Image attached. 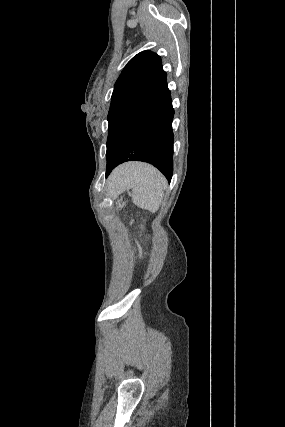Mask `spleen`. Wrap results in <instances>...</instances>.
Returning a JSON list of instances; mask_svg holds the SVG:
<instances>
[{"mask_svg":"<svg viewBox=\"0 0 285 427\" xmlns=\"http://www.w3.org/2000/svg\"><path fill=\"white\" fill-rule=\"evenodd\" d=\"M129 164V166L113 176L111 191L118 192L132 189L133 203L155 213L161 205L164 190L167 187L165 177L149 164Z\"/></svg>","mask_w":285,"mask_h":427,"instance_id":"spleen-1","label":"spleen"}]
</instances>
